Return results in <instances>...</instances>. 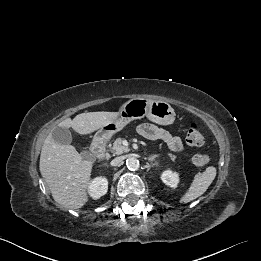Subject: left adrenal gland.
<instances>
[{
    "mask_svg": "<svg viewBox=\"0 0 261 261\" xmlns=\"http://www.w3.org/2000/svg\"><path fill=\"white\" fill-rule=\"evenodd\" d=\"M157 157H159V155H152V156H150V157L148 158V160L152 162V161H154L155 158H157Z\"/></svg>",
    "mask_w": 261,
    "mask_h": 261,
    "instance_id": "a2214340",
    "label": "left adrenal gland"
}]
</instances>
